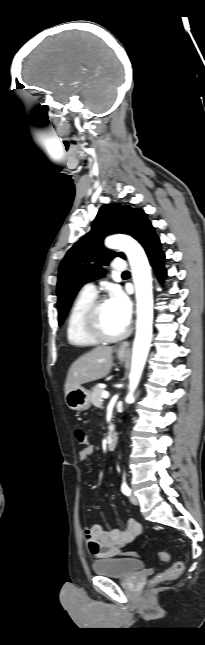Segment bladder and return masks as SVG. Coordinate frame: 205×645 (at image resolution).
<instances>
[{"instance_id": "obj_1", "label": "bladder", "mask_w": 205, "mask_h": 645, "mask_svg": "<svg viewBox=\"0 0 205 645\" xmlns=\"http://www.w3.org/2000/svg\"><path fill=\"white\" fill-rule=\"evenodd\" d=\"M144 568V562L138 558L116 557L101 559L93 563L94 573L103 576L126 578Z\"/></svg>"}]
</instances>
